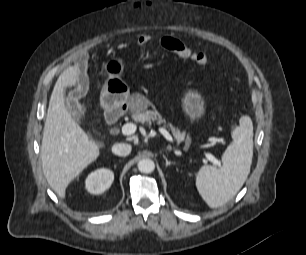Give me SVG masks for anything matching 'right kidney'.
Segmentation results:
<instances>
[{"mask_svg": "<svg viewBox=\"0 0 306 255\" xmlns=\"http://www.w3.org/2000/svg\"><path fill=\"white\" fill-rule=\"evenodd\" d=\"M114 180V173L105 168L98 169L88 175L85 187L91 194H101L109 189Z\"/></svg>", "mask_w": 306, "mask_h": 255, "instance_id": "ca27d5eb", "label": "right kidney"}]
</instances>
